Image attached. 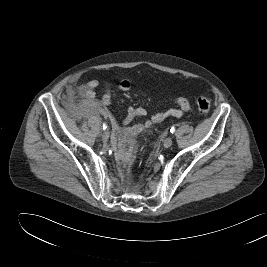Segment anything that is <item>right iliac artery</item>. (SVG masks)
Wrapping results in <instances>:
<instances>
[{"label":"right iliac artery","mask_w":267,"mask_h":267,"mask_svg":"<svg viewBox=\"0 0 267 267\" xmlns=\"http://www.w3.org/2000/svg\"><path fill=\"white\" fill-rule=\"evenodd\" d=\"M106 128H107L106 123H103V129H106Z\"/></svg>","instance_id":"right-iliac-artery-1"}]
</instances>
